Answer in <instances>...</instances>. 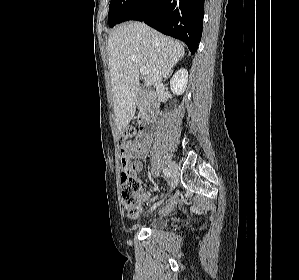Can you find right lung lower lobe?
<instances>
[{
    "label": "right lung lower lobe",
    "instance_id": "right-lung-lower-lobe-1",
    "mask_svg": "<svg viewBox=\"0 0 299 280\" xmlns=\"http://www.w3.org/2000/svg\"><path fill=\"white\" fill-rule=\"evenodd\" d=\"M204 0H138L123 16L185 42L192 54L202 36Z\"/></svg>",
    "mask_w": 299,
    "mask_h": 280
}]
</instances>
